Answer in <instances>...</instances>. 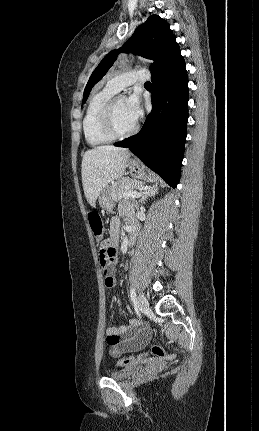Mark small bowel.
<instances>
[{
    "label": "small bowel",
    "mask_w": 259,
    "mask_h": 431,
    "mask_svg": "<svg viewBox=\"0 0 259 431\" xmlns=\"http://www.w3.org/2000/svg\"><path fill=\"white\" fill-rule=\"evenodd\" d=\"M120 231L119 219L114 217L110 222L109 238L107 239L112 246L115 248L118 244ZM115 261V260H114ZM113 261V263H114ZM113 263L110 267L103 266L100 272L105 277L104 285L107 288H111L114 285L115 277L113 275ZM115 332L119 336V340L115 346H117V352H122L126 349H140L143 348L149 338V330L139 319H132L126 325L119 327H111L107 330L108 332Z\"/></svg>",
    "instance_id": "c3829d8e"
}]
</instances>
